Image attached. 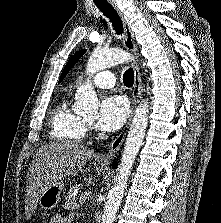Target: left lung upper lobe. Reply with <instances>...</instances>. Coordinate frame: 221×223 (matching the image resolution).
Returning <instances> with one entry per match:
<instances>
[{
	"label": "left lung upper lobe",
	"instance_id": "obj_1",
	"mask_svg": "<svg viewBox=\"0 0 221 223\" xmlns=\"http://www.w3.org/2000/svg\"><path fill=\"white\" fill-rule=\"evenodd\" d=\"M85 52V49H82L80 51H78L69 61L68 63L66 64L61 76H60V79H59V82H61L64 77L67 75V73L69 72V70L73 67V65L81 58V56L84 54Z\"/></svg>",
	"mask_w": 221,
	"mask_h": 223
}]
</instances>
